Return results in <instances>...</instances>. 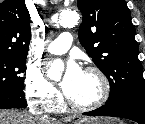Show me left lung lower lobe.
I'll return each instance as SVG.
<instances>
[{"label": "left lung lower lobe", "instance_id": "left-lung-lower-lobe-1", "mask_svg": "<svg viewBox=\"0 0 145 124\" xmlns=\"http://www.w3.org/2000/svg\"><path fill=\"white\" fill-rule=\"evenodd\" d=\"M84 115L122 117L145 124V102L134 98H124L113 103H106Z\"/></svg>", "mask_w": 145, "mask_h": 124}]
</instances>
